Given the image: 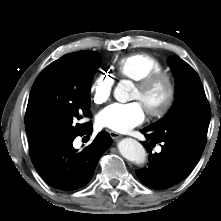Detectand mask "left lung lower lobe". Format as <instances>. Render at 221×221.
Masks as SVG:
<instances>
[{"mask_svg":"<svg viewBox=\"0 0 221 221\" xmlns=\"http://www.w3.org/2000/svg\"><path fill=\"white\" fill-rule=\"evenodd\" d=\"M147 141L142 142L149 154L145 168L136 170L140 181L152 189H167L186 178L198 163L203 150L181 141L153 139L148 127L142 130ZM161 143L160 153H152L150 145Z\"/></svg>","mask_w":221,"mask_h":221,"instance_id":"obj_1","label":"left lung lower lobe"}]
</instances>
